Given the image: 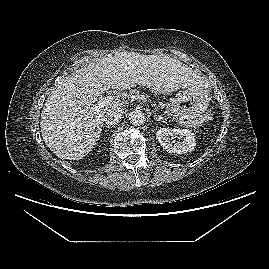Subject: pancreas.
Returning <instances> with one entry per match:
<instances>
[{
  "label": "pancreas",
  "mask_w": 269,
  "mask_h": 269,
  "mask_svg": "<svg viewBox=\"0 0 269 269\" xmlns=\"http://www.w3.org/2000/svg\"><path fill=\"white\" fill-rule=\"evenodd\" d=\"M131 95H134V96H139L140 95V92L138 91V90H136V89H132V90H130V92H129Z\"/></svg>",
  "instance_id": "1"
}]
</instances>
